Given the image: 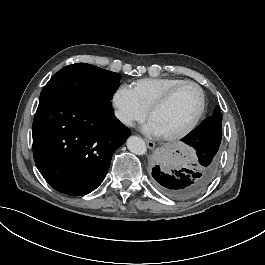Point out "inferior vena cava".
I'll return each mask as SVG.
<instances>
[{
  "instance_id": "1",
  "label": "inferior vena cava",
  "mask_w": 265,
  "mask_h": 265,
  "mask_svg": "<svg viewBox=\"0 0 265 265\" xmlns=\"http://www.w3.org/2000/svg\"><path fill=\"white\" fill-rule=\"evenodd\" d=\"M123 123H124V124H129V120L124 119V120H123Z\"/></svg>"
}]
</instances>
